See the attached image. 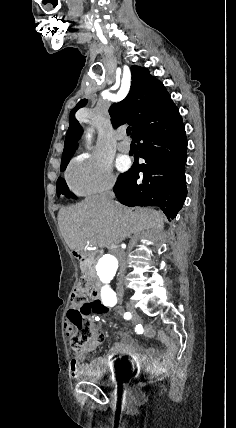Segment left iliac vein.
I'll return each mask as SVG.
<instances>
[{
    "label": "left iliac vein",
    "instance_id": "4c4485c4",
    "mask_svg": "<svg viewBox=\"0 0 236 428\" xmlns=\"http://www.w3.org/2000/svg\"><path fill=\"white\" fill-rule=\"evenodd\" d=\"M119 299H122V296H119Z\"/></svg>",
    "mask_w": 236,
    "mask_h": 428
}]
</instances>
